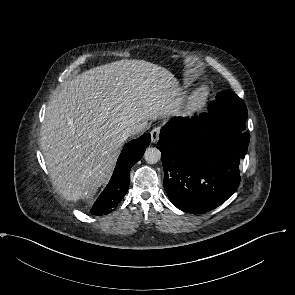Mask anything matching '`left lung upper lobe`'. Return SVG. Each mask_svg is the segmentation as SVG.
Segmentation results:
<instances>
[{"instance_id": "obj_1", "label": "left lung upper lobe", "mask_w": 295, "mask_h": 295, "mask_svg": "<svg viewBox=\"0 0 295 295\" xmlns=\"http://www.w3.org/2000/svg\"><path fill=\"white\" fill-rule=\"evenodd\" d=\"M210 113L246 122L248 111L244 102L233 92L223 91L216 96V100L208 107Z\"/></svg>"}]
</instances>
